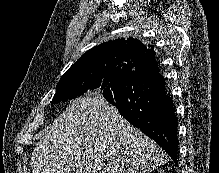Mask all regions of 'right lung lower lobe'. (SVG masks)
Returning <instances> with one entry per match:
<instances>
[{
    "label": "right lung lower lobe",
    "mask_w": 219,
    "mask_h": 173,
    "mask_svg": "<svg viewBox=\"0 0 219 173\" xmlns=\"http://www.w3.org/2000/svg\"><path fill=\"white\" fill-rule=\"evenodd\" d=\"M156 61L141 64L103 94L124 118L158 143L178 166L177 117Z\"/></svg>",
    "instance_id": "obj_1"
}]
</instances>
